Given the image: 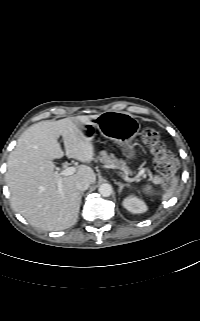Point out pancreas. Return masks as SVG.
Listing matches in <instances>:
<instances>
[{
	"label": "pancreas",
	"instance_id": "pancreas-1",
	"mask_svg": "<svg viewBox=\"0 0 200 321\" xmlns=\"http://www.w3.org/2000/svg\"><path fill=\"white\" fill-rule=\"evenodd\" d=\"M96 161H99L110 168L121 170L125 175L132 173L123 160L115 158L112 154L108 155L103 153ZM149 176H152L151 173H149Z\"/></svg>",
	"mask_w": 200,
	"mask_h": 321
}]
</instances>
